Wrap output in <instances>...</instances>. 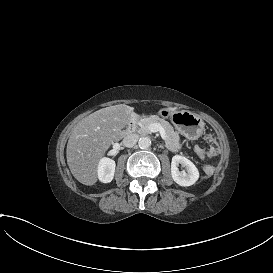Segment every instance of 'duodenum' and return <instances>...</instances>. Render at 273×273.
<instances>
[{"mask_svg":"<svg viewBox=\"0 0 273 273\" xmlns=\"http://www.w3.org/2000/svg\"><path fill=\"white\" fill-rule=\"evenodd\" d=\"M138 118H139L138 113H134L131 116V118H130L128 124H127V127L125 128V131H124L125 134H130V133H132L134 131Z\"/></svg>","mask_w":273,"mask_h":273,"instance_id":"obj_1","label":"duodenum"}]
</instances>
